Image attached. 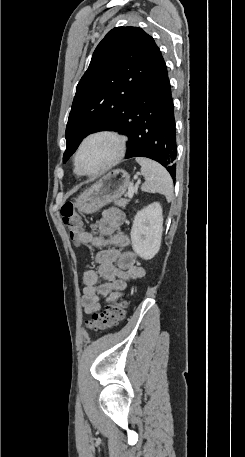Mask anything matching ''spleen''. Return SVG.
<instances>
[{"label":"spleen","mask_w":245,"mask_h":457,"mask_svg":"<svg viewBox=\"0 0 245 457\" xmlns=\"http://www.w3.org/2000/svg\"><path fill=\"white\" fill-rule=\"evenodd\" d=\"M138 164L141 166V174L145 178V182L141 184V190L144 192H160L165 194L168 202L173 198V180L166 168L144 156H136Z\"/></svg>","instance_id":"obj_1"}]
</instances>
